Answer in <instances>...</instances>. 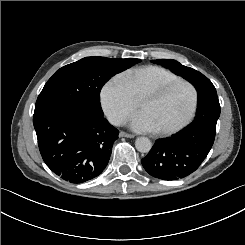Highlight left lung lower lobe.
I'll return each instance as SVG.
<instances>
[{"mask_svg": "<svg viewBox=\"0 0 245 245\" xmlns=\"http://www.w3.org/2000/svg\"><path fill=\"white\" fill-rule=\"evenodd\" d=\"M198 109L195 120L171 137L158 139L141 160L145 170L162 180H178L198 169L215 139L220 116L217 92L211 81L196 86Z\"/></svg>", "mask_w": 245, "mask_h": 245, "instance_id": "0a47b994", "label": "left lung lower lobe"}]
</instances>
